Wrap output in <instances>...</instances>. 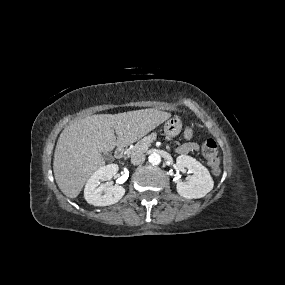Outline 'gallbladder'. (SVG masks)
<instances>
[{"label":"gallbladder","instance_id":"gallbladder-1","mask_svg":"<svg viewBox=\"0 0 285 285\" xmlns=\"http://www.w3.org/2000/svg\"><path fill=\"white\" fill-rule=\"evenodd\" d=\"M104 158L106 159V160H108V161H111L112 159H113V157H112V155L111 154H109V153H104Z\"/></svg>","mask_w":285,"mask_h":285}]
</instances>
